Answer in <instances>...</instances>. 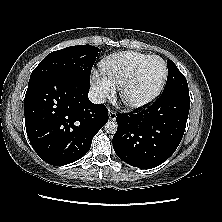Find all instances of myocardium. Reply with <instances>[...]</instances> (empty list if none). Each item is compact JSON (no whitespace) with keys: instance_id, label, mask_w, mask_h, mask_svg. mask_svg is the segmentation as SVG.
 <instances>
[{"instance_id":"1","label":"myocardium","mask_w":222,"mask_h":222,"mask_svg":"<svg viewBox=\"0 0 222 222\" xmlns=\"http://www.w3.org/2000/svg\"><path fill=\"white\" fill-rule=\"evenodd\" d=\"M153 59H159L161 60V62L163 63L164 66V74L162 77V80L159 84V86L156 88V90L149 95L148 97L142 99V100H131L128 98L127 93L128 90L133 86V84L138 80V78L140 77L143 69L145 68V66ZM167 78H168V66L166 61L161 58L158 55H151L150 57H148L147 59H145L144 61H142L138 67L134 70V72L127 78V80L121 85L120 87V97L123 101V103L129 107L130 109H141L144 108L148 105H150L151 103H153L162 93L166 82H167Z\"/></svg>"}]
</instances>
